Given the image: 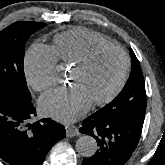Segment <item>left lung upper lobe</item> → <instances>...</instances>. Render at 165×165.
Returning <instances> with one entry per match:
<instances>
[{"label":"left lung upper lobe","mask_w":165,"mask_h":165,"mask_svg":"<svg viewBox=\"0 0 165 165\" xmlns=\"http://www.w3.org/2000/svg\"><path fill=\"white\" fill-rule=\"evenodd\" d=\"M132 70L130 77L118 96L98 110L93 117L121 122L143 124L146 112L145 82L140 63L132 49Z\"/></svg>","instance_id":"1"}]
</instances>
